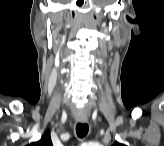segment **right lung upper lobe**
Wrapping results in <instances>:
<instances>
[{
  "label": "right lung upper lobe",
  "instance_id": "right-lung-upper-lobe-1",
  "mask_svg": "<svg viewBox=\"0 0 164 146\" xmlns=\"http://www.w3.org/2000/svg\"><path fill=\"white\" fill-rule=\"evenodd\" d=\"M31 145L32 146H52L50 133L46 132L38 142L32 143Z\"/></svg>",
  "mask_w": 164,
  "mask_h": 146
}]
</instances>
